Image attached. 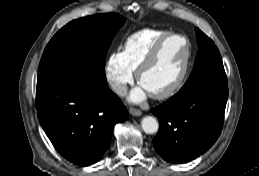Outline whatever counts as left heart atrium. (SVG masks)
<instances>
[{"label": "left heart atrium", "mask_w": 259, "mask_h": 176, "mask_svg": "<svg viewBox=\"0 0 259 176\" xmlns=\"http://www.w3.org/2000/svg\"><path fill=\"white\" fill-rule=\"evenodd\" d=\"M148 94V91L140 84V86L136 87L130 94L129 99L132 102L139 103L142 102Z\"/></svg>", "instance_id": "left-heart-atrium-1"}]
</instances>
